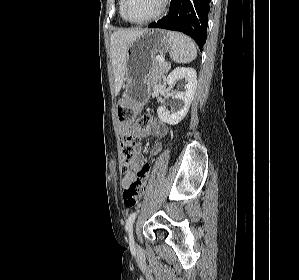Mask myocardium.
Wrapping results in <instances>:
<instances>
[{
  "mask_svg": "<svg viewBox=\"0 0 299 280\" xmlns=\"http://www.w3.org/2000/svg\"><path fill=\"white\" fill-rule=\"evenodd\" d=\"M127 2H128V0H122V12H123L124 18L126 19V21H128L130 23L142 25V24H147L149 22H152V21L156 20L157 18H159L166 10L169 0H162L159 9L152 16H150L144 20H133L129 17V15L127 13Z\"/></svg>",
  "mask_w": 299,
  "mask_h": 280,
  "instance_id": "obj_1",
  "label": "myocardium"
}]
</instances>
